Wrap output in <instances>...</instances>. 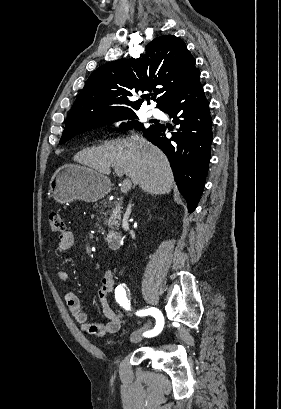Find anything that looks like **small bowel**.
Instances as JSON below:
<instances>
[{
    "instance_id": "obj_1",
    "label": "small bowel",
    "mask_w": 281,
    "mask_h": 409,
    "mask_svg": "<svg viewBox=\"0 0 281 409\" xmlns=\"http://www.w3.org/2000/svg\"><path fill=\"white\" fill-rule=\"evenodd\" d=\"M74 235L71 231H65L59 236L55 247V254L64 253L73 244ZM57 278L60 282L66 283L70 279V274L65 270L57 272ZM117 288V282L114 277V271L111 268L105 270L101 279V287L97 295L103 306L104 314L109 319L106 324L88 322L87 315L82 311L79 298L74 293L65 295V302L75 321L80 325L82 332L93 336H104L105 334L117 333L123 323L121 315L112 309L109 305L108 296L114 294Z\"/></svg>"
}]
</instances>
